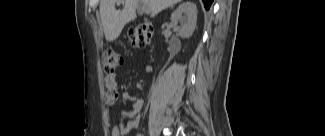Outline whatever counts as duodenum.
Segmentation results:
<instances>
[{
  "instance_id": "410a0bca",
  "label": "duodenum",
  "mask_w": 325,
  "mask_h": 136,
  "mask_svg": "<svg viewBox=\"0 0 325 136\" xmlns=\"http://www.w3.org/2000/svg\"><path fill=\"white\" fill-rule=\"evenodd\" d=\"M151 25L150 24H145L144 27L149 28Z\"/></svg>"
}]
</instances>
